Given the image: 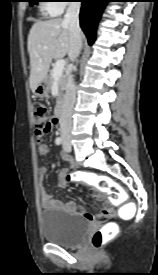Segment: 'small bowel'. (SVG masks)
Masks as SVG:
<instances>
[{"label": "small bowel", "instance_id": "1", "mask_svg": "<svg viewBox=\"0 0 158 275\" xmlns=\"http://www.w3.org/2000/svg\"><path fill=\"white\" fill-rule=\"evenodd\" d=\"M38 151L40 155L45 156L49 153V147L47 144L43 142L38 143ZM61 157L63 160L69 161L71 164V167H75V163L72 161L71 157L65 153L61 154ZM48 168L47 167H41L38 172V178L40 181V187H39V193H40V199L43 208L50 209V208H58L65 210L67 212H74L81 215H84L87 219L94 220L96 219L94 213L87 212L86 209L83 206L77 205L74 201H69L67 203H63L62 201L55 199L44 187L43 181L47 175ZM67 175V171L63 170L60 172L59 175V182L60 184H63L65 181V176ZM95 197L97 199H102V195L100 193H96Z\"/></svg>", "mask_w": 158, "mask_h": 275}]
</instances>
